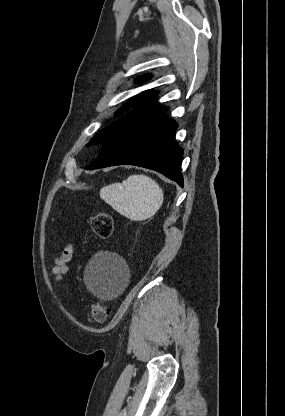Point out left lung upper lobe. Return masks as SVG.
I'll list each match as a JSON object with an SVG mask.
<instances>
[{
    "label": "left lung upper lobe",
    "mask_w": 285,
    "mask_h": 416,
    "mask_svg": "<svg viewBox=\"0 0 285 416\" xmlns=\"http://www.w3.org/2000/svg\"><path fill=\"white\" fill-rule=\"evenodd\" d=\"M147 80V77H140L136 80L138 84L143 83ZM157 95L155 91H146L140 95L134 97L130 102L123 107V111H127L130 107H136L129 111L126 115L120 117L117 121L113 122L110 126L102 129L94 135V137L89 141L87 146L93 144H103L107 139H109L114 133L121 129L126 124L142 117L152 112H155L162 108V106L157 105L154 100H151L154 96ZM119 113V112H118ZM117 113V114H118Z\"/></svg>",
    "instance_id": "5c2ea615"
}]
</instances>
